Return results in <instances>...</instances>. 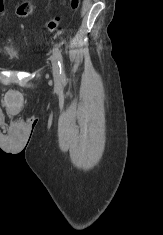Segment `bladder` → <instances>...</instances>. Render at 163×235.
<instances>
[{
  "label": "bladder",
  "instance_id": "obj_1",
  "mask_svg": "<svg viewBox=\"0 0 163 235\" xmlns=\"http://www.w3.org/2000/svg\"><path fill=\"white\" fill-rule=\"evenodd\" d=\"M5 53L10 57H16L18 55V51L13 45H8L4 48Z\"/></svg>",
  "mask_w": 163,
  "mask_h": 235
}]
</instances>
